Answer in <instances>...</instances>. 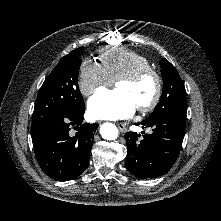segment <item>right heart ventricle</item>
Returning <instances> with one entry per match:
<instances>
[{"mask_svg":"<svg viewBox=\"0 0 221 221\" xmlns=\"http://www.w3.org/2000/svg\"><path fill=\"white\" fill-rule=\"evenodd\" d=\"M99 60L113 80L135 70L151 67L150 60L144 55L120 47H109L101 50Z\"/></svg>","mask_w":221,"mask_h":221,"instance_id":"e07e8e85","label":"right heart ventricle"}]
</instances>
